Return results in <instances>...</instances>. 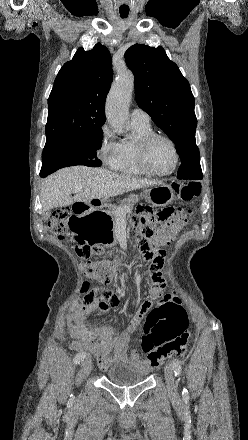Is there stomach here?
<instances>
[{
    "instance_id": "obj_1",
    "label": "stomach",
    "mask_w": 248,
    "mask_h": 440,
    "mask_svg": "<svg viewBox=\"0 0 248 440\" xmlns=\"http://www.w3.org/2000/svg\"><path fill=\"white\" fill-rule=\"evenodd\" d=\"M143 197L154 206H166L174 197L173 190L165 184L146 188ZM77 204L76 211L81 218H70V232L76 241H83L84 246H115L114 236L116 219L111 218V209H94L99 200Z\"/></svg>"
}]
</instances>
